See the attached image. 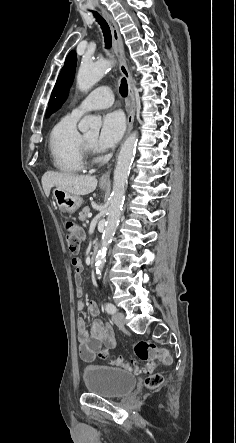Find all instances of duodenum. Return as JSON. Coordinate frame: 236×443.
<instances>
[{"instance_id": "obj_1", "label": "duodenum", "mask_w": 236, "mask_h": 443, "mask_svg": "<svg viewBox=\"0 0 236 443\" xmlns=\"http://www.w3.org/2000/svg\"><path fill=\"white\" fill-rule=\"evenodd\" d=\"M96 252H97V251H94V252L92 253V255L90 256V258H89V262H90L91 264H93V262H94V260H95V258H96Z\"/></svg>"}]
</instances>
